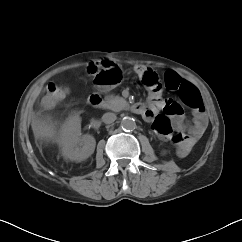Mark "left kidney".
<instances>
[{"mask_svg": "<svg viewBox=\"0 0 242 242\" xmlns=\"http://www.w3.org/2000/svg\"><path fill=\"white\" fill-rule=\"evenodd\" d=\"M166 154V151H162V155H165Z\"/></svg>", "mask_w": 242, "mask_h": 242, "instance_id": "5707ae66", "label": "left kidney"}]
</instances>
